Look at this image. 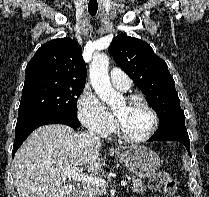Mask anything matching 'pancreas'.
<instances>
[{
  "instance_id": "obj_1",
  "label": "pancreas",
  "mask_w": 209,
  "mask_h": 197,
  "mask_svg": "<svg viewBox=\"0 0 209 197\" xmlns=\"http://www.w3.org/2000/svg\"><path fill=\"white\" fill-rule=\"evenodd\" d=\"M131 188L133 192L143 193L145 186L141 179L132 177ZM86 197H100L105 193V189L96 185H87L84 187Z\"/></svg>"
}]
</instances>
